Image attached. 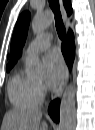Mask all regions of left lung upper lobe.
<instances>
[{"label": "left lung upper lobe", "instance_id": "5c2ea615", "mask_svg": "<svg viewBox=\"0 0 95 130\" xmlns=\"http://www.w3.org/2000/svg\"><path fill=\"white\" fill-rule=\"evenodd\" d=\"M30 21V14L29 12H24L20 15L16 26L14 30V34L12 37L11 42V62L9 66L7 67V70L13 66V64L16 62L17 58L19 57L22 47L25 43L26 37H27V30L29 26Z\"/></svg>", "mask_w": 95, "mask_h": 130}]
</instances>
